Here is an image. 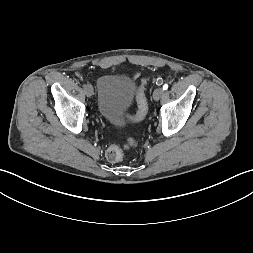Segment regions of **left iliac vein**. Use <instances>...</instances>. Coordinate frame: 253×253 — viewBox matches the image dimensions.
Here are the masks:
<instances>
[{"label":"left iliac vein","instance_id":"1","mask_svg":"<svg viewBox=\"0 0 253 253\" xmlns=\"http://www.w3.org/2000/svg\"><path fill=\"white\" fill-rule=\"evenodd\" d=\"M163 93H164V90L162 88L159 87L155 89L153 93L154 100L158 101L162 97Z\"/></svg>","mask_w":253,"mask_h":253}]
</instances>
